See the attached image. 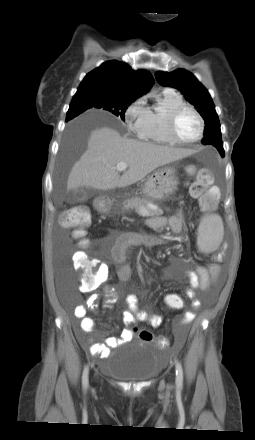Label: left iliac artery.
<instances>
[{
	"instance_id": "1",
	"label": "left iliac artery",
	"mask_w": 255,
	"mask_h": 440,
	"mask_svg": "<svg viewBox=\"0 0 255 440\" xmlns=\"http://www.w3.org/2000/svg\"><path fill=\"white\" fill-rule=\"evenodd\" d=\"M176 385L178 389L183 386V369L178 361H176Z\"/></svg>"
}]
</instances>
